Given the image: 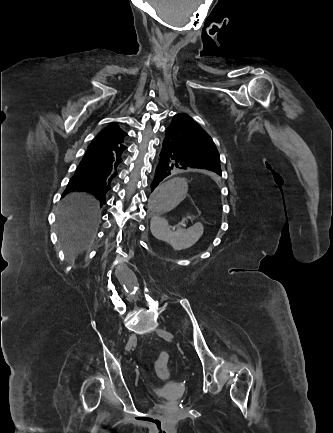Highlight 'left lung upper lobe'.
Instances as JSON below:
<instances>
[{
  "mask_svg": "<svg viewBox=\"0 0 333 433\" xmlns=\"http://www.w3.org/2000/svg\"><path fill=\"white\" fill-rule=\"evenodd\" d=\"M165 138L174 151L221 175L220 158L214 142L189 115H175L166 129Z\"/></svg>",
  "mask_w": 333,
  "mask_h": 433,
  "instance_id": "left-lung-upper-lobe-1",
  "label": "left lung upper lobe"
}]
</instances>
